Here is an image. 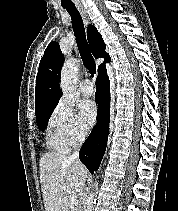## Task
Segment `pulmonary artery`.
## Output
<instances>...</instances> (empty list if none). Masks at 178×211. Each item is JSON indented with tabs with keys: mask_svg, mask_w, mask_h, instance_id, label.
<instances>
[{
	"mask_svg": "<svg viewBox=\"0 0 178 211\" xmlns=\"http://www.w3.org/2000/svg\"><path fill=\"white\" fill-rule=\"evenodd\" d=\"M80 90L84 96H91L93 94V85L90 80H84L80 85Z\"/></svg>",
	"mask_w": 178,
	"mask_h": 211,
	"instance_id": "obj_1",
	"label": "pulmonary artery"
}]
</instances>
